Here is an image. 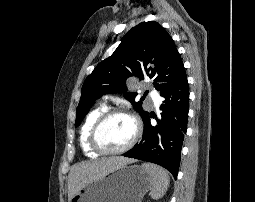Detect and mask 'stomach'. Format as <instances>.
<instances>
[{
  "instance_id": "1",
  "label": "stomach",
  "mask_w": 255,
  "mask_h": 202,
  "mask_svg": "<svg viewBox=\"0 0 255 202\" xmlns=\"http://www.w3.org/2000/svg\"><path fill=\"white\" fill-rule=\"evenodd\" d=\"M152 187L142 167L126 165L90 181L69 202H141Z\"/></svg>"
}]
</instances>
